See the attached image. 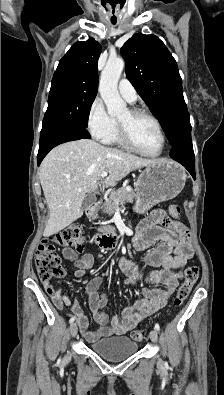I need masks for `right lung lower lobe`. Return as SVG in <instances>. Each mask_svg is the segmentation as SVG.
I'll list each match as a JSON object with an SVG mask.
<instances>
[{"label": "right lung lower lobe", "mask_w": 224, "mask_h": 395, "mask_svg": "<svg viewBox=\"0 0 224 395\" xmlns=\"http://www.w3.org/2000/svg\"><path fill=\"white\" fill-rule=\"evenodd\" d=\"M90 138L85 127L58 116L45 115L40 133V144L37 156L38 165L55 146L68 141Z\"/></svg>", "instance_id": "obj_1"}]
</instances>
